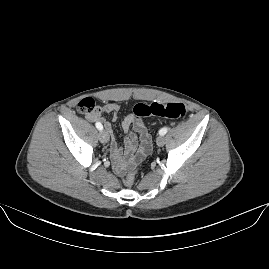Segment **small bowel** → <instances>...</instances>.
I'll list each match as a JSON object with an SVG mask.
<instances>
[{
    "mask_svg": "<svg viewBox=\"0 0 269 269\" xmlns=\"http://www.w3.org/2000/svg\"><path fill=\"white\" fill-rule=\"evenodd\" d=\"M119 109V105L115 102H109L102 107V111L104 113H113L114 119H116ZM88 116L91 121L98 118L97 114ZM105 125L107 133L110 136V157L116 173L123 174L128 167L141 162L147 157V155L143 153L141 146V141L143 139L142 132L145 128H147L142 120L135 118L133 115H127L123 118L121 128L127 135L125 139L124 154H122L121 150L117 146L111 123L106 121ZM136 135H139L140 147L135 153L137 146Z\"/></svg>",
    "mask_w": 269,
    "mask_h": 269,
    "instance_id": "small-bowel-1",
    "label": "small bowel"
}]
</instances>
